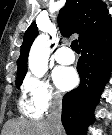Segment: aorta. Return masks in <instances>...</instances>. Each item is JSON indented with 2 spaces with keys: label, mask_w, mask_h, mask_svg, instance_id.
I'll use <instances>...</instances> for the list:
<instances>
[{
  "label": "aorta",
  "mask_w": 112,
  "mask_h": 135,
  "mask_svg": "<svg viewBox=\"0 0 112 135\" xmlns=\"http://www.w3.org/2000/svg\"><path fill=\"white\" fill-rule=\"evenodd\" d=\"M49 55V36L41 34L33 42L28 58V66L34 76L40 78L45 75L48 70Z\"/></svg>",
  "instance_id": "aorta-1"
}]
</instances>
